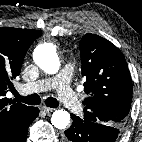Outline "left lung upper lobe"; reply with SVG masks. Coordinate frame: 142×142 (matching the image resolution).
Masks as SVG:
<instances>
[{
    "instance_id": "obj_1",
    "label": "left lung upper lobe",
    "mask_w": 142,
    "mask_h": 142,
    "mask_svg": "<svg viewBox=\"0 0 142 142\" xmlns=\"http://www.w3.org/2000/svg\"><path fill=\"white\" fill-rule=\"evenodd\" d=\"M84 122L121 127L132 102V80L122 52L110 41L85 34L80 41Z\"/></svg>"
}]
</instances>
